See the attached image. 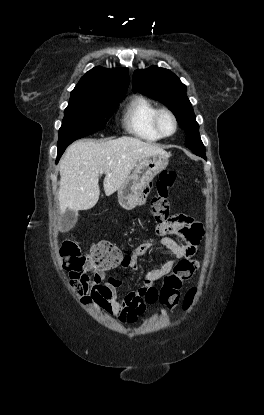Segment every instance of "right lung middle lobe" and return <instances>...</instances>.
Segmentation results:
<instances>
[{"mask_svg": "<svg viewBox=\"0 0 264 415\" xmlns=\"http://www.w3.org/2000/svg\"><path fill=\"white\" fill-rule=\"evenodd\" d=\"M124 95L70 98L59 129L58 150L102 130Z\"/></svg>", "mask_w": 264, "mask_h": 415, "instance_id": "right-lung-middle-lobe-1", "label": "right lung middle lobe"}]
</instances>
